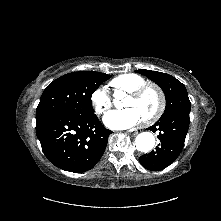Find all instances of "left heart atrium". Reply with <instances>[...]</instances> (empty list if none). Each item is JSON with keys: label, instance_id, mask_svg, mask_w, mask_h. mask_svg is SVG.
<instances>
[{"label": "left heart atrium", "instance_id": "left-heart-atrium-1", "mask_svg": "<svg viewBox=\"0 0 221 221\" xmlns=\"http://www.w3.org/2000/svg\"><path fill=\"white\" fill-rule=\"evenodd\" d=\"M106 126L113 129H127L137 125L141 118L134 109L108 112L103 119Z\"/></svg>", "mask_w": 221, "mask_h": 221}]
</instances>
